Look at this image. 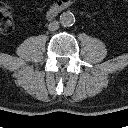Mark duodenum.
<instances>
[{
    "mask_svg": "<svg viewBox=\"0 0 128 128\" xmlns=\"http://www.w3.org/2000/svg\"><path fill=\"white\" fill-rule=\"evenodd\" d=\"M72 4V0H58L48 10L47 17L54 18L58 13L67 9Z\"/></svg>",
    "mask_w": 128,
    "mask_h": 128,
    "instance_id": "duodenum-1",
    "label": "duodenum"
}]
</instances>
